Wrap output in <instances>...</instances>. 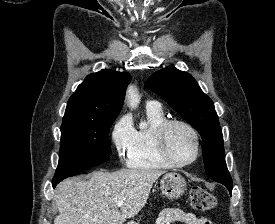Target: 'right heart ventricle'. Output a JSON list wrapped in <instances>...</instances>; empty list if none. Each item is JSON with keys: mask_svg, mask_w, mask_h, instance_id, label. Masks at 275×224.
<instances>
[{"mask_svg": "<svg viewBox=\"0 0 275 224\" xmlns=\"http://www.w3.org/2000/svg\"><path fill=\"white\" fill-rule=\"evenodd\" d=\"M148 127L135 130L134 143L127 155L128 167L138 170L169 169L158 155L154 144V133L157 127L166 120L161 108H147Z\"/></svg>", "mask_w": 275, "mask_h": 224, "instance_id": "obj_1", "label": "right heart ventricle"}]
</instances>
